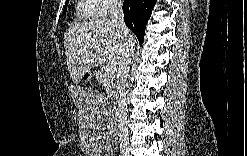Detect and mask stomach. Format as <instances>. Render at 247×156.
I'll use <instances>...</instances> for the list:
<instances>
[{
    "label": "stomach",
    "instance_id": "obj_1",
    "mask_svg": "<svg viewBox=\"0 0 247 156\" xmlns=\"http://www.w3.org/2000/svg\"><path fill=\"white\" fill-rule=\"evenodd\" d=\"M85 75H86V77H88V78L91 77V73L86 72Z\"/></svg>",
    "mask_w": 247,
    "mask_h": 156
}]
</instances>
